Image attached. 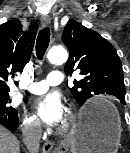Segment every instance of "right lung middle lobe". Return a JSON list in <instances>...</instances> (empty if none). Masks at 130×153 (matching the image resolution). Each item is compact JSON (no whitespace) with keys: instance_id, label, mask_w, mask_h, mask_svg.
Wrapping results in <instances>:
<instances>
[{"instance_id":"obj_1","label":"right lung middle lobe","mask_w":130,"mask_h":153,"mask_svg":"<svg viewBox=\"0 0 130 153\" xmlns=\"http://www.w3.org/2000/svg\"><path fill=\"white\" fill-rule=\"evenodd\" d=\"M10 102L11 101H9L8 91L0 92V109L11 114L17 113L16 109L12 108L11 106H8V103Z\"/></svg>"}]
</instances>
